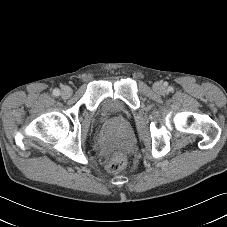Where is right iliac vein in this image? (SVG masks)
I'll return each instance as SVG.
<instances>
[{"label": "right iliac vein", "instance_id": "right-iliac-vein-1", "mask_svg": "<svg viewBox=\"0 0 227 227\" xmlns=\"http://www.w3.org/2000/svg\"><path fill=\"white\" fill-rule=\"evenodd\" d=\"M71 94H72V90H71L70 87L64 86V87L62 88V91H61L62 97L68 98V97H70Z\"/></svg>", "mask_w": 227, "mask_h": 227}]
</instances>
